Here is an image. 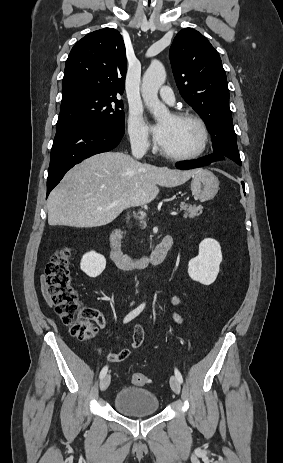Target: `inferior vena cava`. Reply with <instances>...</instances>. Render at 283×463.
Wrapping results in <instances>:
<instances>
[{
	"mask_svg": "<svg viewBox=\"0 0 283 463\" xmlns=\"http://www.w3.org/2000/svg\"><path fill=\"white\" fill-rule=\"evenodd\" d=\"M147 148L148 144L145 139L134 138L131 140V152L135 158L141 159L145 155Z\"/></svg>",
	"mask_w": 283,
	"mask_h": 463,
	"instance_id": "inferior-vena-cava-1",
	"label": "inferior vena cava"
}]
</instances>
